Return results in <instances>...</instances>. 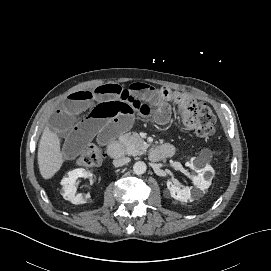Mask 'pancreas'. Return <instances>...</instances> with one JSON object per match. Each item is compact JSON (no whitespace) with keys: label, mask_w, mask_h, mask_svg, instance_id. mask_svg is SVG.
Instances as JSON below:
<instances>
[{"label":"pancreas","mask_w":271,"mask_h":271,"mask_svg":"<svg viewBox=\"0 0 271 271\" xmlns=\"http://www.w3.org/2000/svg\"><path fill=\"white\" fill-rule=\"evenodd\" d=\"M120 142L125 148V153L128 155H141L147 148L146 143L140 138L136 132H130L120 137Z\"/></svg>","instance_id":"1"}]
</instances>
